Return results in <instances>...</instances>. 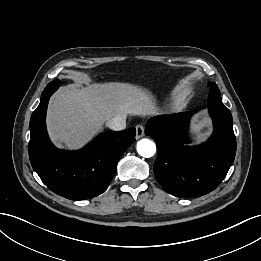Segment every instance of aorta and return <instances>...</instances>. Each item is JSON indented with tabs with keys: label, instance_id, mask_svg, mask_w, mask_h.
I'll use <instances>...</instances> for the list:
<instances>
[{
	"label": "aorta",
	"instance_id": "1",
	"mask_svg": "<svg viewBox=\"0 0 261 261\" xmlns=\"http://www.w3.org/2000/svg\"><path fill=\"white\" fill-rule=\"evenodd\" d=\"M137 152L142 157L150 158L156 152V145L149 139H141L137 143Z\"/></svg>",
	"mask_w": 261,
	"mask_h": 261
}]
</instances>
